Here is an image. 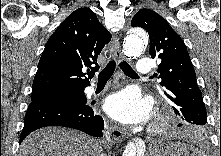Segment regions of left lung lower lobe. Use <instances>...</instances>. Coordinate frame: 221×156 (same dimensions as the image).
<instances>
[{
	"instance_id": "left-lung-lower-lobe-1",
	"label": "left lung lower lobe",
	"mask_w": 221,
	"mask_h": 156,
	"mask_svg": "<svg viewBox=\"0 0 221 156\" xmlns=\"http://www.w3.org/2000/svg\"><path fill=\"white\" fill-rule=\"evenodd\" d=\"M183 124H178V126L180 127V126H182ZM220 156H221V152H220Z\"/></svg>"
}]
</instances>
